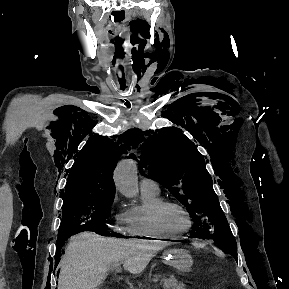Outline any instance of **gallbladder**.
Masks as SVG:
<instances>
[{
  "label": "gallbladder",
  "mask_w": 289,
  "mask_h": 289,
  "mask_svg": "<svg viewBox=\"0 0 289 289\" xmlns=\"http://www.w3.org/2000/svg\"><path fill=\"white\" fill-rule=\"evenodd\" d=\"M96 289H102V288L97 287Z\"/></svg>",
  "instance_id": "obj_1"
}]
</instances>
